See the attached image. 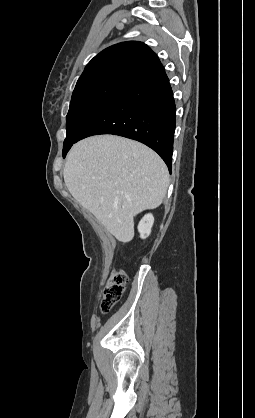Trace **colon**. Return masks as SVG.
Wrapping results in <instances>:
<instances>
[{
    "label": "colon",
    "mask_w": 255,
    "mask_h": 418,
    "mask_svg": "<svg viewBox=\"0 0 255 418\" xmlns=\"http://www.w3.org/2000/svg\"><path fill=\"white\" fill-rule=\"evenodd\" d=\"M127 283V275L123 270L112 272L104 289L101 308L104 312L109 311L121 298Z\"/></svg>",
    "instance_id": "1"
}]
</instances>
